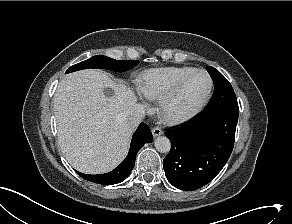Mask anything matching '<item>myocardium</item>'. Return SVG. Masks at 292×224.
Masks as SVG:
<instances>
[{"label": "myocardium", "mask_w": 292, "mask_h": 224, "mask_svg": "<svg viewBox=\"0 0 292 224\" xmlns=\"http://www.w3.org/2000/svg\"><path fill=\"white\" fill-rule=\"evenodd\" d=\"M197 73H204L209 78V88L205 97L190 111L180 115H173L169 112L170 105L179 95L182 87L191 78L193 75ZM214 88V81L210 73L205 69H195L188 74L184 75L181 79H179L176 84L167 92L160 100L158 104V114L160 118L168 124L176 125L184 123L193 117H195L198 113H200L203 108L209 102L212 92Z\"/></svg>", "instance_id": "f54148a6"}]
</instances>
